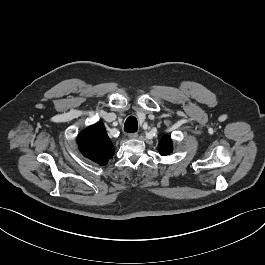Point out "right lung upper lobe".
I'll return each instance as SVG.
<instances>
[{
    "label": "right lung upper lobe",
    "mask_w": 265,
    "mask_h": 265,
    "mask_svg": "<svg viewBox=\"0 0 265 265\" xmlns=\"http://www.w3.org/2000/svg\"><path fill=\"white\" fill-rule=\"evenodd\" d=\"M77 141L81 153L99 165L107 164L114 155V147L101 122L83 130Z\"/></svg>",
    "instance_id": "obj_1"
}]
</instances>
